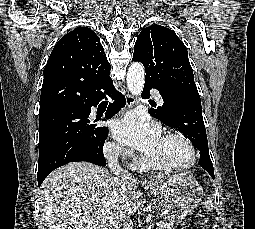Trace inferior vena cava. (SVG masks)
<instances>
[{
	"label": "inferior vena cava",
	"instance_id": "inferior-vena-cava-1",
	"mask_svg": "<svg viewBox=\"0 0 255 229\" xmlns=\"http://www.w3.org/2000/svg\"><path fill=\"white\" fill-rule=\"evenodd\" d=\"M120 153V148L117 147L115 149L110 150L107 153L108 166L110 170L113 172L114 176L118 178H130L131 174L127 170L123 169L118 164V156ZM123 229H133L132 223H123Z\"/></svg>",
	"mask_w": 255,
	"mask_h": 229
}]
</instances>
